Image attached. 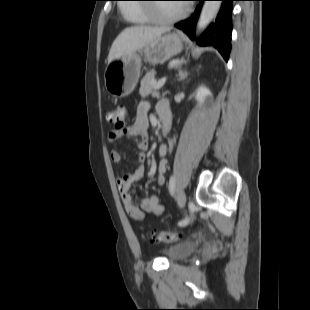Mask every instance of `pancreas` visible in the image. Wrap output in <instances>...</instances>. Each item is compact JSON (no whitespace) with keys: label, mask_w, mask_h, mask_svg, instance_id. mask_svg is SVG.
Wrapping results in <instances>:
<instances>
[{"label":"pancreas","mask_w":310,"mask_h":310,"mask_svg":"<svg viewBox=\"0 0 310 310\" xmlns=\"http://www.w3.org/2000/svg\"><path fill=\"white\" fill-rule=\"evenodd\" d=\"M156 84L155 72L150 71L146 73V75L141 80V86L139 90L140 95L147 96L151 93H154L157 90Z\"/></svg>","instance_id":"obj_1"}]
</instances>
